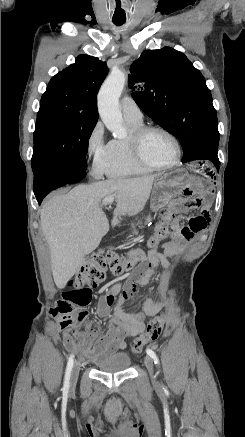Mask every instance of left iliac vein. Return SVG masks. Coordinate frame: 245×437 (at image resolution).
<instances>
[{
    "mask_svg": "<svg viewBox=\"0 0 245 437\" xmlns=\"http://www.w3.org/2000/svg\"><path fill=\"white\" fill-rule=\"evenodd\" d=\"M145 365H146V367H147V369H148V372H149V374H150V377H151L152 383H153L154 385H157L158 382H157L156 374H155V371H154L153 360H152L149 356H146V357H145Z\"/></svg>",
    "mask_w": 245,
    "mask_h": 437,
    "instance_id": "obj_1",
    "label": "left iliac vein"
}]
</instances>
